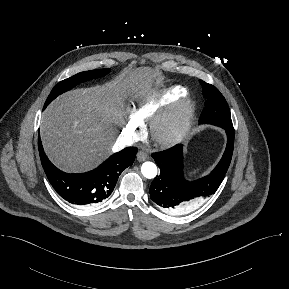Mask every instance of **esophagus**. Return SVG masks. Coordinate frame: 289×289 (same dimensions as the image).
Instances as JSON below:
<instances>
[{
  "mask_svg": "<svg viewBox=\"0 0 289 289\" xmlns=\"http://www.w3.org/2000/svg\"><path fill=\"white\" fill-rule=\"evenodd\" d=\"M149 158V155L146 153V152H144V151H139L138 153H137V159L139 160V161H145V160H147Z\"/></svg>",
  "mask_w": 289,
  "mask_h": 289,
  "instance_id": "1",
  "label": "esophagus"
}]
</instances>
